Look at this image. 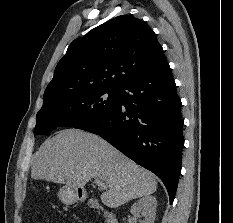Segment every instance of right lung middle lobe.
<instances>
[{
  "instance_id": "1",
  "label": "right lung middle lobe",
  "mask_w": 233,
  "mask_h": 223,
  "mask_svg": "<svg viewBox=\"0 0 233 223\" xmlns=\"http://www.w3.org/2000/svg\"><path fill=\"white\" fill-rule=\"evenodd\" d=\"M119 88L98 87L43 104L34 133L44 135L57 127L79 128L117 107Z\"/></svg>"
}]
</instances>
